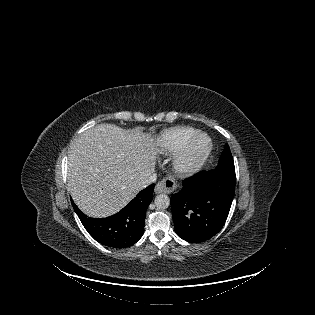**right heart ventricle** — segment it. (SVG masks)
<instances>
[{
	"label": "right heart ventricle",
	"instance_id": "obj_1",
	"mask_svg": "<svg viewBox=\"0 0 315 315\" xmlns=\"http://www.w3.org/2000/svg\"><path fill=\"white\" fill-rule=\"evenodd\" d=\"M200 131L192 127H172L163 131L157 138V147L163 154L179 152L185 144Z\"/></svg>",
	"mask_w": 315,
	"mask_h": 315
}]
</instances>
